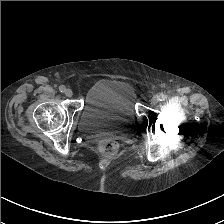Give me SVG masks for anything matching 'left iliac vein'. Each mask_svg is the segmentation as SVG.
I'll return each mask as SVG.
<instances>
[{
  "instance_id": "4c4485c4",
  "label": "left iliac vein",
  "mask_w": 224,
  "mask_h": 224,
  "mask_svg": "<svg viewBox=\"0 0 224 224\" xmlns=\"http://www.w3.org/2000/svg\"><path fill=\"white\" fill-rule=\"evenodd\" d=\"M158 101H159V97H158V96H154V97H152V99H151V102H152L153 104H157Z\"/></svg>"
}]
</instances>
